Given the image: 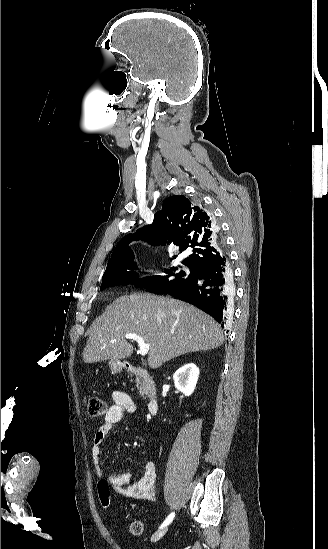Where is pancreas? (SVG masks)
Returning a JSON list of instances; mask_svg holds the SVG:
<instances>
[{
  "mask_svg": "<svg viewBox=\"0 0 328 549\" xmlns=\"http://www.w3.org/2000/svg\"><path fill=\"white\" fill-rule=\"evenodd\" d=\"M136 387L143 399H146L147 395H151V393H156V385H153V383H147L143 377H137Z\"/></svg>",
  "mask_w": 328,
  "mask_h": 549,
  "instance_id": "cf45deb5",
  "label": "pancreas"
}]
</instances>
